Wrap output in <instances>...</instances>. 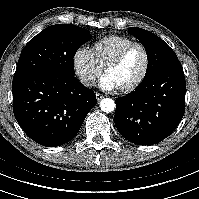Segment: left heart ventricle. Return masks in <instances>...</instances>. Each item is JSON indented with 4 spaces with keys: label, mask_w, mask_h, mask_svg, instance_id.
I'll use <instances>...</instances> for the list:
<instances>
[{
    "label": "left heart ventricle",
    "mask_w": 199,
    "mask_h": 199,
    "mask_svg": "<svg viewBox=\"0 0 199 199\" xmlns=\"http://www.w3.org/2000/svg\"><path fill=\"white\" fill-rule=\"evenodd\" d=\"M145 65V56L140 47L131 48L119 65L105 73L115 85L121 89L132 84L141 75Z\"/></svg>",
    "instance_id": "obj_1"
}]
</instances>
